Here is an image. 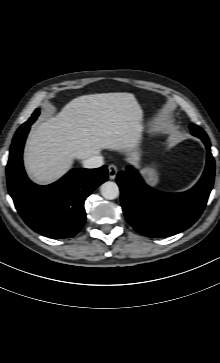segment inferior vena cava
I'll list each match as a JSON object with an SVG mask.
<instances>
[{"label": "inferior vena cava", "instance_id": "inferior-vena-cava-1", "mask_svg": "<svg viewBox=\"0 0 220 363\" xmlns=\"http://www.w3.org/2000/svg\"><path fill=\"white\" fill-rule=\"evenodd\" d=\"M104 164L103 157L101 155H92L83 160L84 168L92 169L99 168Z\"/></svg>", "mask_w": 220, "mask_h": 363}]
</instances>
